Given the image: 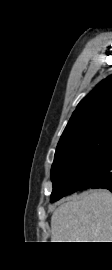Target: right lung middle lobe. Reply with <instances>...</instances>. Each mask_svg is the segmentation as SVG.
<instances>
[{"label":"right lung middle lobe","mask_w":112,"mask_h":270,"mask_svg":"<svg viewBox=\"0 0 112 270\" xmlns=\"http://www.w3.org/2000/svg\"><path fill=\"white\" fill-rule=\"evenodd\" d=\"M112 143V122L92 127L56 148L51 168V202L80 189L85 170L96 162Z\"/></svg>","instance_id":"dd1d6c3e"}]
</instances>
